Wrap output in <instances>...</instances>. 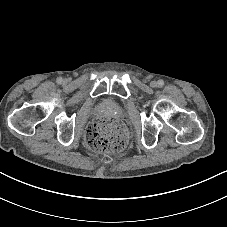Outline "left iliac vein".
Segmentation results:
<instances>
[{
	"instance_id": "4c4485c4",
	"label": "left iliac vein",
	"mask_w": 227,
	"mask_h": 227,
	"mask_svg": "<svg viewBox=\"0 0 227 227\" xmlns=\"http://www.w3.org/2000/svg\"><path fill=\"white\" fill-rule=\"evenodd\" d=\"M150 86L153 87V88H155V87L158 86V82L155 81V80H153V81H151Z\"/></svg>"
}]
</instances>
